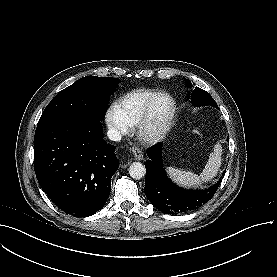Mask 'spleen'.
<instances>
[{
  "mask_svg": "<svg viewBox=\"0 0 277 277\" xmlns=\"http://www.w3.org/2000/svg\"><path fill=\"white\" fill-rule=\"evenodd\" d=\"M221 155L222 147L218 143L215 145L214 151L210 154L208 162L200 176L190 171H184L174 167H168L166 171L175 182L183 186L196 187L201 184V182L210 181L213 177L216 176L221 166Z\"/></svg>",
  "mask_w": 277,
  "mask_h": 277,
  "instance_id": "obj_1",
  "label": "spleen"
}]
</instances>
